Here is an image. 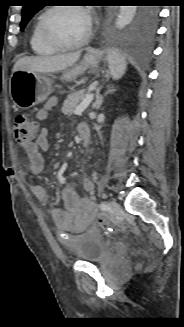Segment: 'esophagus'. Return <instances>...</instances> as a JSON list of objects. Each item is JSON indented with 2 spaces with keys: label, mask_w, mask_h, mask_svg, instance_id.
<instances>
[{
  "label": "esophagus",
  "mask_w": 184,
  "mask_h": 327,
  "mask_svg": "<svg viewBox=\"0 0 184 327\" xmlns=\"http://www.w3.org/2000/svg\"><path fill=\"white\" fill-rule=\"evenodd\" d=\"M107 26V22L105 23V27Z\"/></svg>",
  "instance_id": "1"
}]
</instances>
